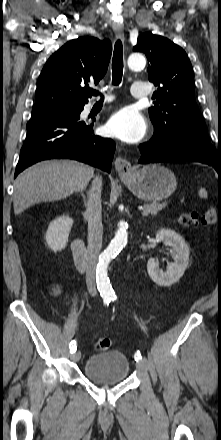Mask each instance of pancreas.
<instances>
[{
    "label": "pancreas",
    "instance_id": "obj_1",
    "mask_svg": "<svg viewBox=\"0 0 221 440\" xmlns=\"http://www.w3.org/2000/svg\"><path fill=\"white\" fill-rule=\"evenodd\" d=\"M167 206V202H163V203H156V202H154V203H152V204H150V205H148V204H146V205H144L143 206V208L144 209H146V210H148V212L151 214V215H153V216H155V215H157V213L159 212V211H161L163 208H165Z\"/></svg>",
    "mask_w": 221,
    "mask_h": 440
}]
</instances>
